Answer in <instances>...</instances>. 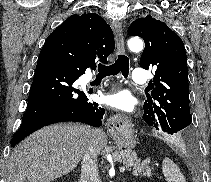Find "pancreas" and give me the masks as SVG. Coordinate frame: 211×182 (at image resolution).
I'll return each instance as SVG.
<instances>
[{"mask_svg":"<svg viewBox=\"0 0 211 182\" xmlns=\"http://www.w3.org/2000/svg\"><path fill=\"white\" fill-rule=\"evenodd\" d=\"M106 151L111 153L115 162L123 163L129 170L133 168V175H151L152 168L147 162L141 163L135 152L120 147H109Z\"/></svg>","mask_w":211,"mask_h":182,"instance_id":"obj_1","label":"pancreas"}]
</instances>
